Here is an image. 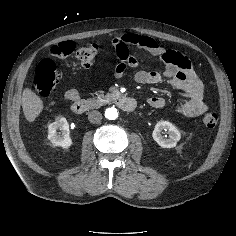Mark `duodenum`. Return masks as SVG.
I'll use <instances>...</instances> for the list:
<instances>
[{
	"instance_id": "duodenum-1",
	"label": "duodenum",
	"mask_w": 236,
	"mask_h": 236,
	"mask_svg": "<svg viewBox=\"0 0 236 236\" xmlns=\"http://www.w3.org/2000/svg\"><path fill=\"white\" fill-rule=\"evenodd\" d=\"M112 100L120 109L126 112H132L137 106V102L134 98L124 95L116 96ZM103 103L104 100L101 98L81 99L75 101L72 104L71 109L74 113L81 114L86 111L98 108Z\"/></svg>"
}]
</instances>
